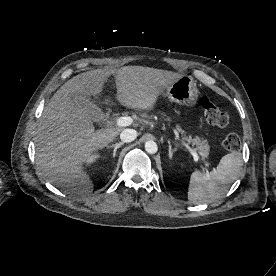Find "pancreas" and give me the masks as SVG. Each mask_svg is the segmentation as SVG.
Returning a JSON list of instances; mask_svg holds the SVG:
<instances>
[{"label": "pancreas", "instance_id": "pancreas-1", "mask_svg": "<svg viewBox=\"0 0 276 276\" xmlns=\"http://www.w3.org/2000/svg\"><path fill=\"white\" fill-rule=\"evenodd\" d=\"M168 120L170 119L168 118ZM177 130L181 134H184V131L180 127H177ZM183 139L189 143H192V145L195 146L194 150L198 152L201 156L203 157L208 156L209 145L206 139H200L198 136H196L195 138H192L191 136H185V135Z\"/></svg>", "mask_w": 276, "mask_h": 276}]
</instances>
